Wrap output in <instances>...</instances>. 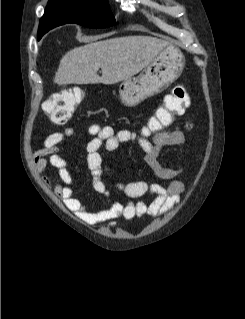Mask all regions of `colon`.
I'll use <instances>...</instances> for the list:
<instances>
[{
	"label": "colon",
	"instance_id": "colon-1",
	"mask_svg": "<svg viewBox=\"0 0 245 319\" xmlns=\"http://www.w3.org/2000/svg\"><path fill=\"white\" fill-rule=\"evenodd\" d=\"M185 88L173 91L166 99L163 106L157 109L148 123L142 128V134L150 137L172 125L175 118L185 111ZM83 92L74 88L54 94L44 103V110L53 122L61 123L69 119L77 105L83 99Z\"/></svg>",
	"mask_w": 245,
	"mask_h": 319
}]
</instances>
